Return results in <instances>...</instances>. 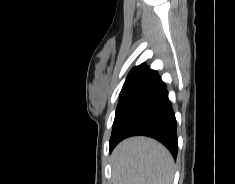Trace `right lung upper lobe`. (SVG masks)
<instances>
[{
  "mask_svg": "<svg viewBox=\"0 0 235 184\" xmlns=\"http://www.w3.org/2000/svg\"><path fill=\"white\" fill-rule=\"evenodd\" d=\"M144 63L134 67L127 76V79L123 85L122 91L125 92L129 88L135 86L137 83H140L145 75L150 71Z\"/></svg>",
  "mask_w": 235,
  "mask_h": 184,
  "instance_id": "cb5924a9",
  "label": "right lung upper lobe"
}]
</instances>
